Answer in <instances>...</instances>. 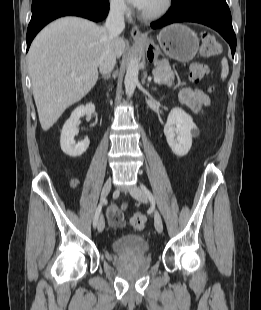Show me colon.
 I'll use <instances>...</instances> for the list:
<instances>
[{"instance_id":"1","label":"colon","mask_w":261,"mask_h":310,"mask_svg":"<svg viewBox=\"0 0 261 310\" xmlns=\"http://www.w3.org/2000/svg\"><path fill=\"white\" fill-rule=\"evenodd\" d=\"M221 47L214 35L205 33L202 36L201 54L204 57H213L220 53ZM206 74V67L201 63H195L190 69V79L194 82L199 81ZM76 182H73L75 185ZM109 222L112 227H124L126 222L125 216L122 214V209L118 208L115 202L109 204L106 210ZM147 222V218L142 213H135L131 219L130 224L136 230H142Z\"/></svg>"}]
</instances>
